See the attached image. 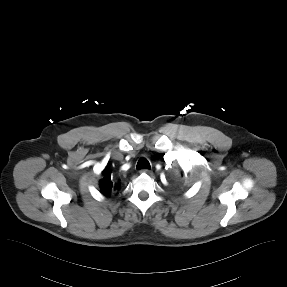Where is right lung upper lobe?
I'll return each instance as SVG.
<instances>
[{"mask_svg":"<svg viewBox=\"0 0 287 287\" xmlns=\"http://www.w3.org/2000/svg\"><path fill=\"white\" fill-rule=\"evenodd\" d=\"M102 175L103 178L99 182L100 189L105 196H109L112 191L119 189V185L118 184L113 185L111 175L107 168L104 169Z\"/></svg>","mask_w":287,"mask_h":287,"instance_id":"1","label":"right lung upper lobe"}]
</instances>
